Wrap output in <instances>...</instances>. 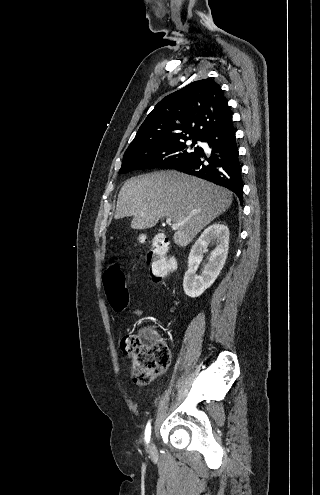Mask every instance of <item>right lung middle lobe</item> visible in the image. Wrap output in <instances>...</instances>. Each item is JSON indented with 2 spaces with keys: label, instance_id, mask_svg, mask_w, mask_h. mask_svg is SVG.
Returning <instances> with one entry per match:
<instances>
[{
  "label": "right lung middle lobe",
  "instance_id": "dd1d6c3e",
  "mask_svg": "<svg viewBox=\"0 0 320 495\" xmlns=\"http://www.w3.org/2000/svg\"><path fill=\"white\" fill-rule=\"evenodd\" d=\"M192 140L188 146L186 141ZM200 138H185L179 141L141 145L126 150L120 173H126L137 169L173 168L188 160L199 149L194 147Z\"/></svg>",
  "mask_w": 320,
  "mask_h": 495
}]
</instances>
